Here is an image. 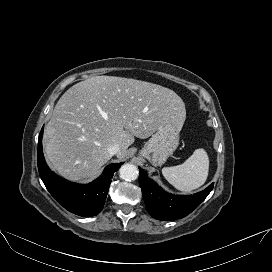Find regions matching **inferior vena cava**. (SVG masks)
Instances as JSON below:
<instances>
[{
    "instance_id": "inferior-vena-cava-1",
    "label": "inferior vena cava",
    "mask_w": 272,
    "mask_h": 272,
    "mask_svg": "<svg viewBox=\"0 0 272 272\" xmlns=\"http://www.w3.org/2000/svg\"><path fill=\"white\" fill-rule=\"evenodd\" d=\"M120 150V147L119 145L115 144V145H112L108 148V153L112 156V155H115L119 152Z\"/></svg>"
}]
</instances>
